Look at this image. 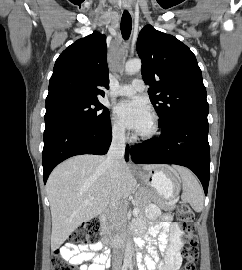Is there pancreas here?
<instances>
[{
    "label": "pancreas",
    "mask_w": 242,
    "mask_h": 270,
    "mask_svg": "<svg viewBox=\"0 0 242 270\" xmlns=\"http://www.w3.org/2000/svg\"><path fill=\"white\" fill-rule=\"evenodd\" d=\"M152 201L159 204L160 207L165 211H171L174 208L173 205L158 200L157 196L153 191L145 188L140 189L139 192L136 194L134 205L139 210H144L146 206ZM126 220H127L126 211L124 210L120 211L118 221L110 224V230L123 231L126 228Z\"/></svg>",
    "instance_id": "pancreas-1"
}]
</instances>
